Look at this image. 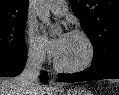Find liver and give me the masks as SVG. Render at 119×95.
<instances>
[{
  "mask_svg": "<svg viewBox=\"0 0 119 95\" xmlns=\"http://www.w3.org/2000/svg\"><path fill=\"white\" fill-rule=\"evenodd\" d=\"M19 84L18 77L15 78H0V95H45L44 89L38 83L34 94H26Z\"/></svg>",
  "mask_w": 119,
  "mask_h": 95,
  "instance_id": "liver-1",
  "label": "liver"
}]
</instances>
